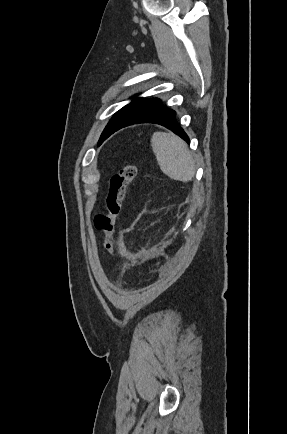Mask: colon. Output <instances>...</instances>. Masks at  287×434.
<instances>
[{
    "label": "colon",
    "instance_id": "colon-1",
    "mask_svg": "<svg viewBox=\"0 0 287 434\" xmlns=\"http://www.w3.org/2000/svg\"><path fill=\"white\" fill-rule=\"evenodd\" d=\"M137 172V167L127 161L119 172L112 176L104 200V210L94 217L95 227L102 234L101 247L107 256H111L113 252L115 220L121 213L128 188L135 180Z\"/></svg>",
    "mask_w": 287,
    "mask_h": 434
}]
</instances>
